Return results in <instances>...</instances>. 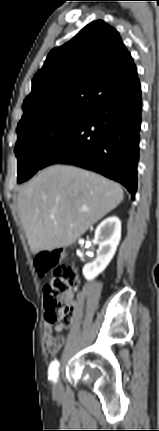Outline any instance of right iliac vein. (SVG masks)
I'll list each match as a JSON object with an SVG mask.
<instances>
[{"instance_id": "1", "label": "right iliac vein", "mask_w": 159, "mask_h": 431, "mask_svg": "<svg viewBox=\"0 0 159 431\" xmlns=\"http://www.w3.org/2000/svg\"><path fill=\"white\" fill-rule=\"evenodd\" d=\"M54 391H55V392L60 391V384H59V382H57V383L54 385Z\"/></svg>"}]
</instances>
